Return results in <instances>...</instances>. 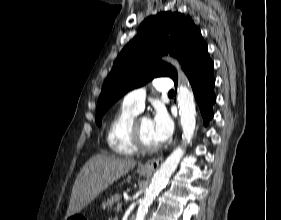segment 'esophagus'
Masks as SVG:
<instances>
[{
    "label": "esophagus",
    "mask_w": 281,
    "mask_h": 220,
    "mask_svg": "<svg viewBox=\"0 0 281 220\" xmlns=\"http://www.w3.org/2000/svg\"><path fill=\"white\" fill-rule=\"evenodd\" d=\"M162 162H163L162 157L154 158V159H151V160L147 161L142 166L141 169L145 172L153 173L159 168V166L162 164Z\"/></svg>",
    "instance_id": "34e87169"
}]
</instances>
